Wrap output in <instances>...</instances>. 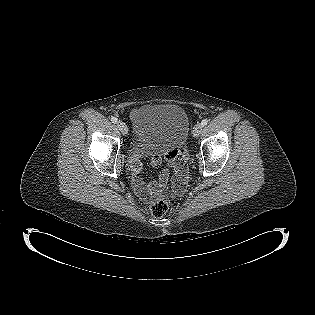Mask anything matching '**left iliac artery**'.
Masks as SVG:
<instances>
[{"instance_id": "obj_1", "label": "left iliac artery", "mask_w": 315, "mask_h": 315, "mask_svg": "<svg viewBox=\"0 0 315 315\" xmlns=\"http://www.w3.org/2000/svg\"><path fill=\"white\" fill-rule=\"evenodd\" d=\"M207 123H208V120H207V119H203L202 122H201L202 126L207 125Z\"/></svg>"}]
</instances>
